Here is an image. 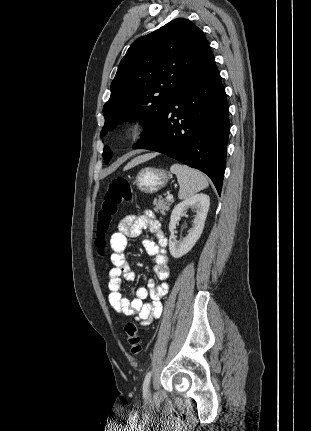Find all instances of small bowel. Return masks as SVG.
<instances>
[{
	"label": "small bowel",
	"mask_w": 311,
	"mask_h": 431,
	"mask_svg": "<svg viewBox=\"0 0 311 431\" xmlns=\"http://www.w3.org/2000/svg\"><path fill=\"white\" fill-rule=\"evenodd\" d=\"M144 229H148L156 238V240L144 239L143 246L147 254L153 258L154 271L161 283L149 280L147 288L139 287L136 290V298L130 300L121 293L123 280L133 281L135 279V274L127 261L125 250L128 240L138 237ZM166 246L167 238L162 230V224L151 211L127 215L120 221L118 230L110 238L113 267L108 272V299L117 313L136 315V319L142 325L148 324L153 318L161 314V299L167 293L168 284L166 280L170 275ZM147 297L151 299V302L144 304L143 300Z\"/></svg>",
	"instance_id": "1"
}]
</instances>
